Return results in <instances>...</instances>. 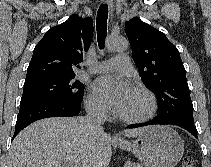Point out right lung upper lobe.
Wrapping results in <instances>:
<instances>
[{"label": "right lung upper lobe", "instance_id": "right-lung-upper-lobe-1", "mask_svg": "<svg viewBox=\"0 0 211 167\" xmlns=\"http://www.w3.org/2000/svg\"><path fill=\"white\" fill-rule=\"evenodd\" d=\"M93 33L91 18L72 14L64 23L48 30L37 46L27 69L26 80L49 76H75Z\"/></svg>", "mask_w": 211, "mask_h": 167}]
</instances>
